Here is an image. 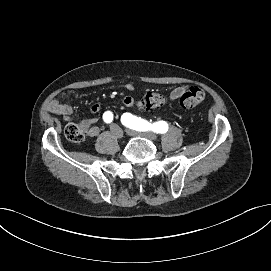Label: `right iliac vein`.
I'll list each match as a JSON object with an SVG mask.
<instances>
[{"label": "right iliac vein", "instance_id": "right-iliac-vein-1", "mask_svg": "<svg viewBox=\"0 0 271 271\" xmlns=\"http://www.w3.org/2000/svg\"><path fill=\"white\" fill-rule=\"evenodd\" d=\"M111 132L118 139L122 138L124 135L123 130L118 125H113L111 127Z\"/></svg>", "mask_w": 271, "mask_h": 271}]
</instances>
